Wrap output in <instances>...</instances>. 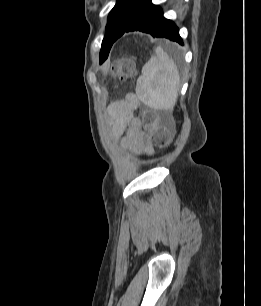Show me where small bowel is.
I'll return each mask as SVG.
<instances>
[{
  "label": "small bowel",
  "mask_w": 261,
  "mask_h": 306,
  "mask_svg": "<svg viewBox=\"0 0 261 306\" xmlns=\"http://www.w3.org/2000/svg\"><path fill=\"white\" fill-rule=\"evenodd\" d=\"M139 104L135 95H128L118 103L112 105L110 112L116 119V132L120 134L126 131L121 138L120 147L122 151H131L135 156L152 155L153 147L149 135L142 130V124L134 116V111Z\"/></svg>",
  "instance_id": "c3829d8e"
}]
</instances>
